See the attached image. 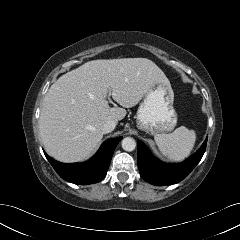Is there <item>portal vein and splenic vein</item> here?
Here are the masks:
<instances>
[{
    "mask_svg": "<svg viewBox=\"0 0 240 240\" xmlns=\"http://www.w3.org/2000/svg\"><path fill=\"white\" fill-rule=\"evenodd\" d=\"M108 94H109V95H111V93H110V92H108ZM106 96H107V94H106Z\"/></svg>",
    "mask_w": 240,
    "mask_h": 240,
    "instance_id": "1",
    "label": "portal vein and splenic vein"
}]
</instances>
